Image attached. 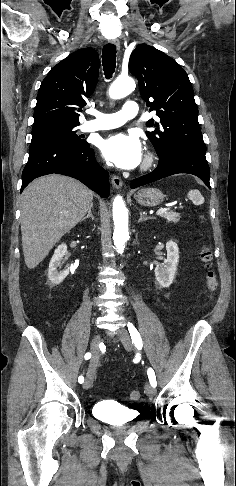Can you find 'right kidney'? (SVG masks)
<instances>
[{
    "label": "right kidney",
    "instance_id": "ca27d5eb",
    "mask_svg": "<svg viewBox=\"0 0 236 486\" xmlns=\"http://www.w3.org/2000/svg\"><path fill=\"white\" fill-rule=\"evenodd\" d=\"M67 252V245L61 244L54 251V254L49 263L48 280L52 285L60 284L69 274V270L58 271L57 268L61 265L64 255Z\"/></svg>",
    "mask_w": 236,
    "mask_h": 486
}]
</instances>
